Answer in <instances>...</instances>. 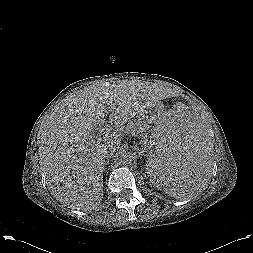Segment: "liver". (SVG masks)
<instances>
[{
    "label": "liver",
    "mask_w": 253,
    "mask_h": 253,
    "mask_svg": "<svg viewBox=\"0 0 253 253\" xmlns=\"http://www.w3.org/2000/svg\"><path fill=\"white\" fill-rule=\"evenodd\" d=\"M159 100L158 88L149 83L102 82L68 97L43 125L39 163L48 190L72 209L90 211L103 199L104 149L102 141L89 142L94 127L123 126Z\"/></svg>",
    "instance_id": "6515ba94"
}]
</instances>
